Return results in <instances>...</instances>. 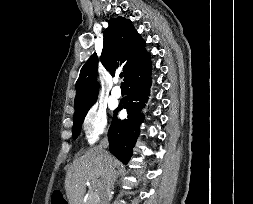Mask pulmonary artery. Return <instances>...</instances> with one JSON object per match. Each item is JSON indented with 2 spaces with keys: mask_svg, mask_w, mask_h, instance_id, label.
I'll list each match as a JSON object with an SVG mask.
<instances>
[{
  "mask_svg": "<svg viewBox=\"0 0 253 204\" xmlns=\"http://www.w3.org/2000/svg\"><path fill=\"white\" fill-rule=\"evenodd\" d=\"M116 85L114 86L113 90H112V96L114 98H120L122 95V91L120 89V87L117 85V82H115Z\"/></svg>",
  "mask_w": 253,
  "mask_h": 204,
  "instance_id": "e3ab8cb5",
  "label": "pulmonary artery"
}]
</instances>
